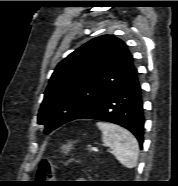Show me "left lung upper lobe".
<instances>
[{"instance_id": "obj_1", "label": "left lung upper lobe", "mask_w": 178, "mask_h": 186, "mask_svg": "<svg viewBox=\"0 0 178 186\" xmlns=\"http://www.w3.org/2000/svg\"><path fill=\"white\" fill-rule=\"evenodd\" d=\"M137 71L120 39L103 35L76 49L54 70L38 114L50 133L103 99Z\"/></svg>"}]
</instances>
